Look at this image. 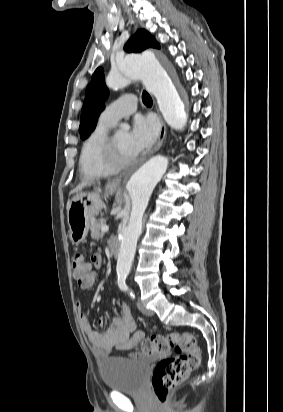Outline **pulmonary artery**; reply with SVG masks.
<instances>
[{
	"label": "pulmonary artery",
	"instance_id": "e3ab8cb5",
	"mask_svg": "<svg viewBox=\"0 0 283 412\" xmlns=\"http://www.w3.org/2000/svg\"><path fill=\"white\" fill-rule=\"evenodd\" d=\"M137 109V99L134 95H124L110 103L101 113L100 121L114 125L120 119L133 114Z\"/></svg>",
	"mask_w": 283,
	"mask_h": 412
}]
</instances>
